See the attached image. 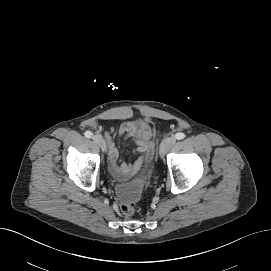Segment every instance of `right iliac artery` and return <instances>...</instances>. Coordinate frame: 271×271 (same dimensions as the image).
Listing matches in <instances>:
<instances>
[{"label":"right iliac artery","mask_w":271,"mask_h":271,"mask_svg":"<svg viewBox=\"0 0 271 271\" xmlns=\"http://www.w3.org/2000/svg\"><path fill=\"white\" fill-rule=\"evenodd\" d=\"M84 135H85V137H87V138H91V137H92V133H91L90 131H86V132L84 133Z\"/></svg>","instance_id":"1"}]
</instances>
